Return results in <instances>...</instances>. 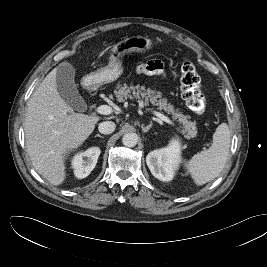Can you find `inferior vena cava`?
Here are the masks:
<instances>
[{
	"label": "inferior vena cava",
	"instance_id": "602c4592",
	"mask_svg": "<svg viewBox=\"0 0 267 267\" xmlns=\"http://www.w3.org/2000/svg\"><path fill=\"white\" fill-rule=\"evenodd\" d=\"M116 128V125L112 121H105L99 124L98 130L102 134H111Z\"/></svg>",
	"mask_w": 267,
	"mask_h": 267
}]
</instances>
